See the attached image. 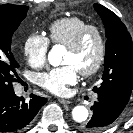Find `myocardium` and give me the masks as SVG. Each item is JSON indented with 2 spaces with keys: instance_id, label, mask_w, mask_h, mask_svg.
<instances>
[{
  "instance_id": "myocardium-1",
  "label": "myocardium",
  "mask_w": 133,
  "mask_h": 133,
  "mask_svg": "<svg viewBox=\"0 0 133 133\" xmlns=\"http://www.w3.org/2000/svg\"><path fill=\"white\" fill-rule=\"evenodd\" d=\"M90 33H94L96 35L98 39L99 50L95 64L89 69L79 71V73L84 77H90L97 74L105 63L107 43L103 30L97 25L88 24L77 34L74 40L66 46V49L72 52L78 51Z\"/></svg>"
}]
</instances>
